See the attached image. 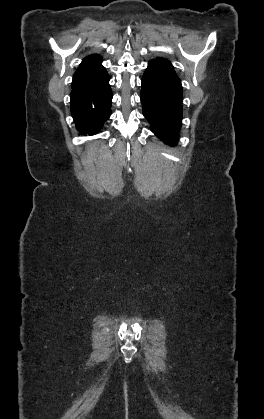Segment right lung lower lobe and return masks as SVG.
<instances>
[{
    "instance_id": "98d812e1",
    "label": "right lung lower lobe",
    "mask_w": 264,
    "mask_h": 419,
    "mask_svg": "<svg viewBox=\"0 0 264 419\" xmlns=\"http://www.w3.org/2000/svg\"><path fill=\"white\" fill-rule=\"evenodd\" d=\"M109 80L106 72L93 82L72 84L71 113L77 129L84 135L96 134L111 115Z\"/></svg>"
}]
</instances>
